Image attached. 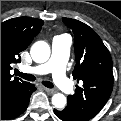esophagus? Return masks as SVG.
<instances>
[{"label": "esophagus", "instance_id": "34e87169", "mask_svg": "<svg viewBox=\"0 0 121 121\" xmlns=\"http://www.w3.org/2000/svg\"><path fill=\"white\" fill-rule=\"evenodd\" d=\"M44 89H45V91H47V92L50 93V94L55 93V90H53V89L46 88V87H44Z\"/></svg>", "mask_w": 121, "mask_h": 121}]
</instances>
